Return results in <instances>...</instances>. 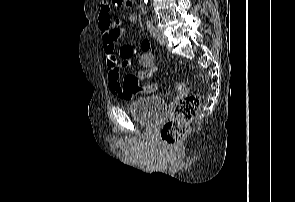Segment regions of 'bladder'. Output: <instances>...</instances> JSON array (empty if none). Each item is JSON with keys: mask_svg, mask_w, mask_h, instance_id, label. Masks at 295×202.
I'll use <instances>...</instances> for the list:
<instances>
[{"mask_svg": "<svg viewBox=\"0 0 295 202\" xmlns=\"http://www.w3.org/2000/svg\"><path fill=\"white\" fill-rule=\"evenodd\" d=\"M130 113L141 124L154 126L165 117L167 103L158 95L145 96L133 104Z\"/></svg>", "mask_w": 295, "mask_h": 202, "instance_id": "obj_1", "label": "bladder"}]
</instances>
